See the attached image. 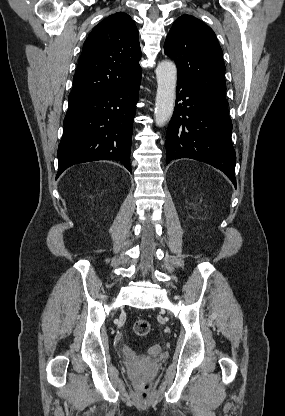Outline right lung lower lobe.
Segmentation results:
<instances>
[{
  "mask_svg": "<svg viewBox=\"0 0 285 416\" xmlns=\"http://www.w3.org/2000/svg\"><path fill=\"white\" fill-rule=\"evenodd\" d=\"M141 76L98 98L69 106L58 147V178L89 161H120L130 172L133 119Z\"/></svg>",
  "mask_w": 285,
  "mask_h": 416,
  "instance_id": "1",
  "label": "right lung lower lobe"
}]
</instances>
